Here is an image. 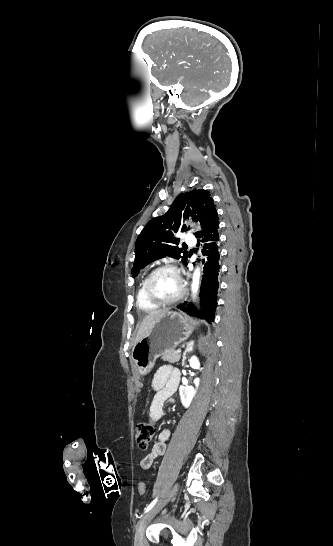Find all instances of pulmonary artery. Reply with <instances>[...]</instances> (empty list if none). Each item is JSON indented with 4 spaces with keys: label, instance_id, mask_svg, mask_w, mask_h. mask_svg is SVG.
I'll list each match as a JSON object with an SVG mask.
<instances>
[{
    "label": "pulmonary artery",
    "instance_id": "pulmonary-artery-1",
    "mask_svg": "<svg viewBox=\"0 0 333 546\" xmlns=\"http://www.w3.org/2000/svg\"><path fill=\"white\" fill-rule=\"evenodd\" d=\"M183 240L189 245H193L196 242L195 237L191 233L185 234Z\"/></svg>",
    "mask_w": 333,
    "mask_h": 546
}]
</instances>
